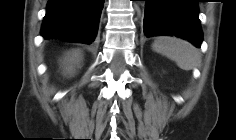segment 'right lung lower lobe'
<instances>
[{"instance_id": "obj_1", "label": "right lung lower lobe", "mask_w": 236, "mask_h": 140, "mask_svg": "<svg viewBox=\"0 0 236 140\" xmlns=\"http://www.w3.org/2000/svg\"><path fill=\"white\" fill-rule=\"evenodd\" d=\"M104 0H49L41 28L44 38L91 44Z\"/></svg>"}]
</instances>
